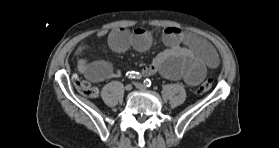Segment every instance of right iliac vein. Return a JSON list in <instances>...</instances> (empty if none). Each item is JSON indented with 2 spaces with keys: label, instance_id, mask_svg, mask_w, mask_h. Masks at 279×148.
Wrapping results in <instances>:
<instances>
[{
  "label": "right iliac vein",
  "instance_id": "1",
  "mask_svg": "<svg viewBox=\"0 0 279 148\" xmlns=\"http://www.w3.org/2000/svg\"><path fill=\"white\" fill-rule=\"evenodd\" d=\"M132 89V85L131 84H127L126 86H125V90L126 91H130Z\"/></svg>",
  "mask_w": 279,
  "mask_h": 148
}]
</instances>
